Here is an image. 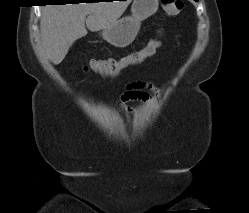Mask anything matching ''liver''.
Here are the masks:
<instances>
[{
  "label": "liver",
  "instance_id": "1",
  "mask_svg": "<svg viewBox=\"0 0 249 213\" xmlns=\"http://www.w3.org/2000/svg\"><path fill=\"white\" fill-rule=\"evenodd\" d=\"M130 2L131 0L43 7L40 35L45 53L53 64L58 65L73 43L87 35L86 27L94 32L112 25L121 17Z\"/></svg>",
  "mask_w": 249,
  "mask_h": 213
}]
</instances>
